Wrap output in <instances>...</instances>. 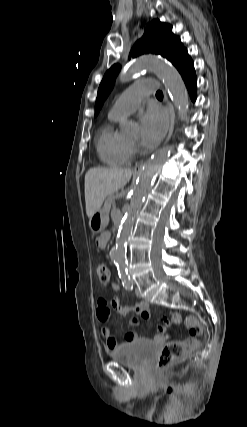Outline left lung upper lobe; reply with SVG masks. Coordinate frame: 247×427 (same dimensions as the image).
I'll return each instance as SVG.
<instances>
[{
  "label": "left lung upper lobe",
  "instance_id": "1",
  "mask_svg": "<svg viewBox=\"0 0 247 427\" xmlns=\"http://www.w3.org/2000/svg\"><path fill=\"white\" fill-rule=\"evenodd\" d=\"M149 53L163 56L176 68L190 58L180 38L172 33V26L161 23L158 19L148 23L144 35L135 43L129 57ZM120 68V65L115 64L105 73L98 89L95 115L99 113L104 100L107 98Z\"/></svg>",
  "mask_w": 247,
  "mask_h": 427
}]
</instances>
